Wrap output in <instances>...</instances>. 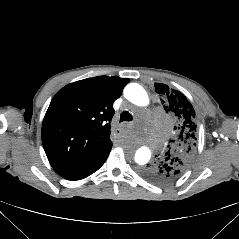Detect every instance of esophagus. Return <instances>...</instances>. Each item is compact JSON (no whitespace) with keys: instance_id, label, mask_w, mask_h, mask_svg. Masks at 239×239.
Returning a JSON list of instances; mask_svg holds the SVG:
<instances>
[{"instance_id":"34e87169","label":"esophagus","mask_w":239,"mask_h":239,"mask_svg":"<svg viewBox=\"0 0 239 239\" xmlns=\"http://www.w3.org/2000/svg\"><path fill=\"white\" fill-rule=\"evenodd\" d=\"M112 133H113V135H115V136L120 135V133H121V128H120L119 126H114V127L112 128Z\"/></svg>"}]
</instances>
